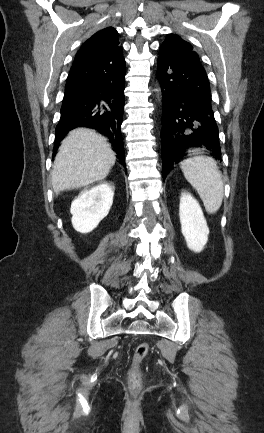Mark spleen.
I'll list each match as a JSON object with an SVG mask.
<instances>
[{"label":"spleen","mask_w":264,"mask_h":433,"mask_svg":"<svg viewBox=\"0 0 264 433\" xmlns=\"http://www.w3.org/2000/svg\"><path fill=\"white\" fill-rule=\"evenodd\" d=\"M186 180L197 190L208 213L214 214L222 204L224 185L217 162L197 155L181 162Z\"/></svg>","instance_id":"spleen-1"}]
</instances>
